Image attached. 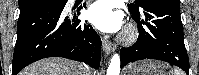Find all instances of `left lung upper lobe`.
<instances>
[{
	"label": "left lung upper lobe",
	"mask_w": 199,
	"mask_h": 75,
	"mask_svg": "<svg viewBox=\"0 0 199 75\" xmlns=\"http://www.w3.org/2000/svg\"><path fill=\"white\" fill-rule=\"evenodd\" d=\"M153 0H136L134 3H131L129 5V9L135 11V12H139V8H142L144 5H146L147 3L151 2Z\"/></svg>",
	"instance_id": "obj_1"
}]
</instances>
